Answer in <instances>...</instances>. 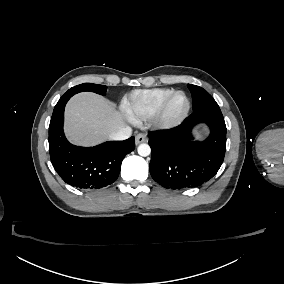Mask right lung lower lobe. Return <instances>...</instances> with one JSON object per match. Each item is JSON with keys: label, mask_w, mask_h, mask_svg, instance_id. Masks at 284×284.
Here are the masks:
<instances>
[{"label": "right lung lower lobe", "mask_w": 284, "mask_h": 284, "mask_svg": "<svg viewBox=\"0 0 284 284\" xmlns=\"http://www.w3.org/2000/svg\"><path fill=\"white\" fill-rule=\"evenodd\" d=\"M71 97L60 98L52 114L49 125L51 162L66 183L84 190H97L116 181L122 160L135 148V139L110 141L89 148L70 144L63 132V121L64 108Z\"/></svg>", "instance_id": "1"}]
</instances>
